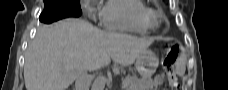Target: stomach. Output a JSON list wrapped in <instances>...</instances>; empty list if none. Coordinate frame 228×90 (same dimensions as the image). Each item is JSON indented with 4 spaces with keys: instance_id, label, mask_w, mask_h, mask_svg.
Listing matches in <instances>:
<instances>
[{
    "instance_id": "1",
    "label": "stomach",
    "mask_w": 228,
    "mask_h": 90,
    "mask_svg": "<svg viewBox=\"0 0 228 90\" xmlns=\"http://www.w3.org/2000/svg\"><path fill=\"white\" fill-rule=\"evenodd\" d=\"M159 64V59L151 50H146L141 54L135 63L138 73L143 79H147L154 74Z\"/></svg>"
}]
</instances>
